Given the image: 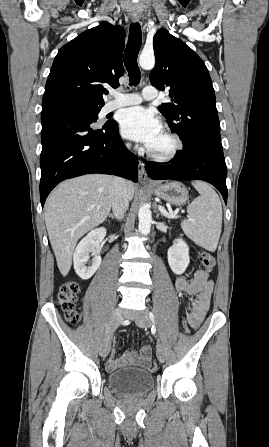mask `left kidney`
<instances>
[{
	"label": "left kidney",
	"mask_w": 269,
	"mask_h": 447,
	"mask_svg": "<svg viewBox=\"0 0 269 447\" xmlns=\"http://www.w3.org/2000/svg\"><path fill=\"white\" fill-rule=\"evenodd\" d=\"M168 263L177 275L184 273L189 265V247L184 239H176L175 243L167 251Z\"/></svg>",
	"instance_id": "left-kidney-1"
}]
</instances>
